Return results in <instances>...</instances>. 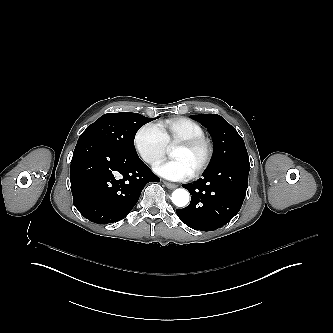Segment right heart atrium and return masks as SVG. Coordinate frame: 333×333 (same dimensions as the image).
Segmentation results:
<instances>
[{"label":"right heart atrium","instance_id":"obj_1","mask_svg":"<svg viewBox=\"0 0 333 333\" xmlns=\"http://www.w3.org/2000/svg\"><path fill=\"white\" fill-rule=\"evenodd\" d=\"M134 148L143 162L154 169L164 158L167 144L159 126L148 123L134 137Z\"/></svg>","mask_w":333,"mask_h":333}]
</instances>
